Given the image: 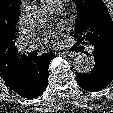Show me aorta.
I'll return each instance as SVG.
<instances>
[{
    "mask_svg": "<svg viewBox=\"0 0 113 113\" xmlns=\"http://www.w3.org/2000/svg\"><path fill=\"white\" fill-rule=\"evenodd\" d=\"M24 16L31 20L38 18V14L36 11L29 9L25 12ZM74 69L81 74L89 73L93 70L95 66V61L92 56L81 53L76 56L73 60Z\"/></svg>",
    "mask_w": 113,
    "mask_h": 113,
    "instance_id": "1",
    "label": "aorta"
}]
</instances>
